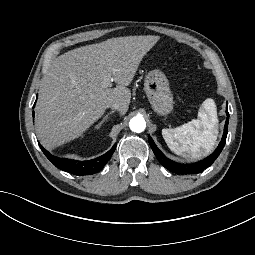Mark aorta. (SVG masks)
<instances>
[{
	"label": "aorta",
	"mask_w": 255,
	"mask_h": 255,
	"mask_svg": "<svg viewBox=\"0 0 255 255\" xmlns=\"http://www.w3.org/2000/svg\"><path fill=\"white\" fill-rule=\"evenodd\" d=\"M129 126L133 132L140 133L145 130L146 122L143 117L136 116L130 120Z\"/></svg>",
	"instance_id": "obj_1"
}]
</instances>
